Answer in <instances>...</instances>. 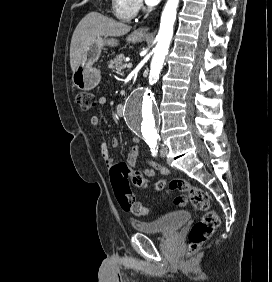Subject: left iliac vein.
<instances>
[{
  "label": "left iliac vein",
  "instance_id": "left-iliac-vein-1",
  "mask_svg": "<svg viewBox=\"0 0 272 282\" xmlns=\"http://www.w3.org/2000/svg\"><path fill=\"white\" fill-rule=\"evenodd\" d=\"M160 154H161V157H165L166 155V146L165 145L161 146Z\"/></svg>",
  "mask_w": 272,
  "mask_h": 282
}]
</instances>
